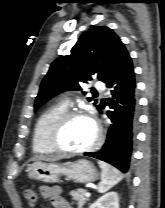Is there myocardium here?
<instances>
[{"instance_id":"1","label":"myocardium","mask_w":165,"mask_h":208,"mask_svg":"<svg viewBox=\"0 0 165 208\" xmlns=\"http://www.w3.org/2000/svg\"><path fill=\"white\" fill-rule=\"evenodd\" d=\"M76 117H86L92 121L95 127L94 141L87 147L82 149H68L60 143L61 133L67 124ZM102 140V129L97 119L89 111L84 109L67 110L52 125L48 133V142L51 147L61 154L81 155L89 153L96 149Z\"/></svg>"}]
</instances>
